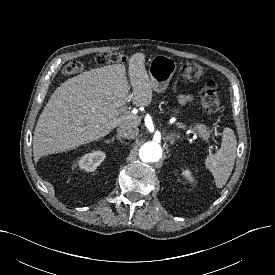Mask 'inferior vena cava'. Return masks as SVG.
<instances>
[{"instance_id": "inferior-vena-cava-1", "label": "inferior vena cava", "mask_w": 275, "mask_h": 275, "mask_svg": "<svg viewBox=\"0 0 275 275\" xmlns=\"http://www.w3.org/2000/svg\"><path fill=\"white\" fill-rule=\"evenodd\" d=\"M118 135L125 139H134L139 134V129L136 126L121 125L117 129Z\"/></svg>"}]
</instances>
